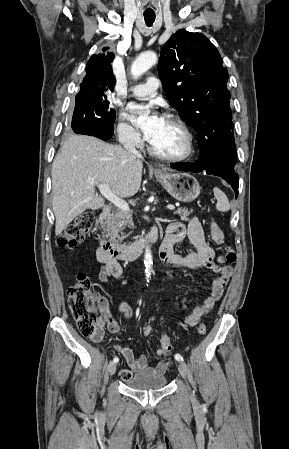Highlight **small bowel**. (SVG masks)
<instances>
[{
  "instance_id": "small-bowel-1",
  "label": "small bowel",
  "mask_w": 289,
  "mask_h": 449,
  "mask_svg": "<svg viewBox=\"0 0 289 449\" xmlns=\"http://www.w3.org/2000/svg\"><path fill=\"white\" fill-rule=\"evenodd\" d=\"M186 234H188L190 242L196 248V250L183 256L175 251L174 245L176 242L180 241ZM96 257L97 260L102 264L97 276L99 282L105 283L112 277L116 279L123 278L122 267L115 258L108 255L100 248H98L96 251ZM215 257L216 254L214 249L209 244H207L204 239L203 230L198 219L191 218L188 222L187 227H184L179 223H173L169 225L166 238L164 239L160 248L161 260L165 264L174 268L189 270L207 268L218 274V276L213 281L209 296L200 306L195 307L186 317L185 324L189 327L197 325L200 318L214 307L215 303L221 298L228 281L233 275V268L229 265H218L217 263H215ZM218 261L222 263L223 258L219 257ZM116 308L123 314L126 319H129L132 316V309L126 301H120L117 304ZM102 309L103 318L101 320L98 333L95 336L91 337V340L93 342L101 341L104 334L103 327L105 324L111 333L117 336L121 334L119 325L113 319L108 308V304L103 299ZM114 349L121 353L129 366L128 369H123L120 372V376L124 381L132 378L136 373L162 375L168 368V362L165 360H161L155 366H149L146 355L142 354L136 358L132 349L127 346L115 345ZM156 354L158 356H164L159 348L157 349Z\"/></svg>"
}]
</instances>
